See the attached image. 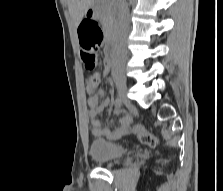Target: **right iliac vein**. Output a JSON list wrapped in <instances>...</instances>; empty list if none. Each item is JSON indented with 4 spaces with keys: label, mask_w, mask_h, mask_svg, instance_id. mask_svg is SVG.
Returning <instances> with one entry per match:
<instances>
[{
    "label": "right iliac vein",
    "mask_w": 223,
    "mask_h": 191,
    "mask_svg": "<svg viewBox=\"0 0 223 191\" xmlns=\"http://www.w3.org/2000/svg\"><path fill=\"white\" fill-rule=\"evenodd\" d=\"M116 88L119 94V97L121 100L127 104L130 103L128 97H127V83L125 79H120L115 81Z\"/></svg>",
    "instance_id": "obj_1"
}]
</instances>
